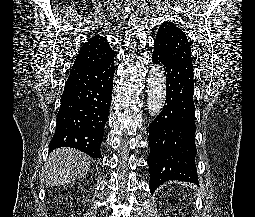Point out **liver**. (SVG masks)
<instances>
[{
	"label": "liver",
	"mask_w": 255,
	"mask_h": 217,
	"mask_svg": "<svg viewBox=\"0 0 255 217\" xmlns=\"http://www.w3.org/2000/svg\"><path fill=\"white\" fill-rule=\"evenodd\" d=\"M90 158L72 148H59L48 157L44 180L47 186H58L75 181L90 170Z\"/></svg>",
	"instance_id": "liver-1"
}]
</instances>
